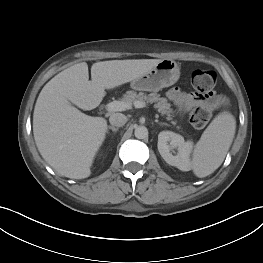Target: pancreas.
<instances>
[{
    "mask_svg": "<svg viewBox=\"0 0 263 263\" xmlns=\"http://www.w3.org/2000/svg\"><path fill=\"white\" fill-rule=\"evenodd\" d=\"M121 100L130 105H132L135 101L155 103L154 108H156L161 115H166L167 120H172L174 117V111L171 108L170 103H168V100L160 97L157 93H150L147 95L143 92L137 93L135 91H127ZM171 122L173 125H176V121Z\"/></svg>",
    "mask_w": 263,
    "mask_h": 263,
    "instance_id": "1",
    "label": "pancreas"
}]
</instances>
